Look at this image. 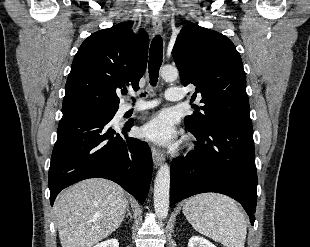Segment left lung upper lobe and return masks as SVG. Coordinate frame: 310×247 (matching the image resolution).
I'll list each match as a JSON object with an SVG mask.
<instances>
[{"label":"left lung upper lobe","instance_id":"left-lung-upper-lobe-1","mask_svg":"<svg viewBox=\"0 0 310 247\" xmlns=\"http://www.w3.org/2000/svg\"><path fill=\"white\" fill-rule=\"evenodd\" d=\"M172 55L182 85L196 86L204 103L185 117L186 126L203 133L220 122L250 123L246 75L228 37L188 22L177 36Z\"/></svg>","mask_w":310,"mask_h":247}]
</instances>
